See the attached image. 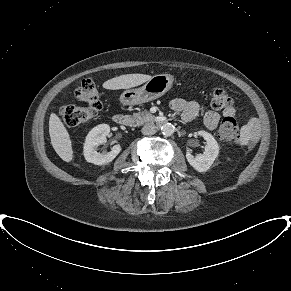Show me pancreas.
<instances>
[{
  "mask_svg": "<svg viewBox=\"0 0 291 291\" xmlns=\"http://www.w3.org/2000/svg\"><path fill=\"white\" fill-rule=\"evenodd\" d=\"M152 120H153L152 115L145 110L142 112L134 113L131 118V123L133 126H140Z\"/></svg>",
  "mask_w": 291,
  "mask_h": 291,
  "instance_id": "1",
  "label": "pancreas"
}]
</instances>
